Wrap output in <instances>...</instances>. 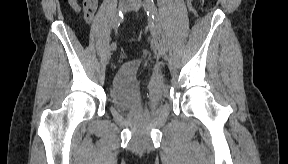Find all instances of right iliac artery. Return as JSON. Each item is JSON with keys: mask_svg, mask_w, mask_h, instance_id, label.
I'll use <instances>...</instances> for the list:
<instances>
[{"mask_svg": "<svg viewBox=\"0 0 288 164\" xmlns=\"http://www.w3.org/2000/svg\"><path fill=\"white\" fill-rule=\"evenodd\" d=\"M122 20H123V13L120 11L113 23V30L115 31V33L117 32L118 27L120 23L122 22ZM116 48H117L116 43L112 42L110 45V49L114 51L116 50Z\"/></svg>", "mask_w": 288, "mask_h": 164, "instance_id": "obj_1", "label": "right iliac artery"}]
</instances>
